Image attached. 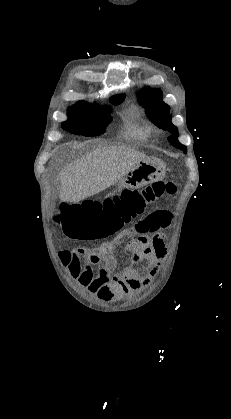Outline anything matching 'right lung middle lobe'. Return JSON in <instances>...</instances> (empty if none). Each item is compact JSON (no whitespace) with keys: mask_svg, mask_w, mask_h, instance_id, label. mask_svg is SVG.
<instances>
[{"mask_svg":"<svg viewBox=\"0 0 231 419\" xmlns=\"http://www.w3.org/2000/svg\"><path fill=\"white\" fill-rule=\"evenodd\" d=\"M124 98L111 101L120 104ZM111 108L91 106L88 103H77L68 109V120L62 123L63 129L78 135L96 136L104 132L105 126L110 122Z\"/></svg>","mask_w":231,"mask_h":419,"instance_id":"dd1d6c3e","label":"right lung middle lobe"}]
</instances>
